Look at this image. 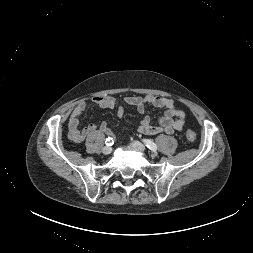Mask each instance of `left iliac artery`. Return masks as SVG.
I'll return each mask as SVG.
<instances>
[{"instance_id": "left-iliac-artery-1", "label": "left iliac artery", "mask_w": 253, "mask_h": 253, "mask_svg": "<svg viewBox=\"0 0 253 253\" xmlns=\"http://www.w3.org/2000/svg\"><path fill=\"white\" fill-rule=\"evenodd\" d=\"M142 141L144 142L145 146L148 147L151 151L157 150V146L152 140L143 139Z\"/></svg>"}]
</instances>
